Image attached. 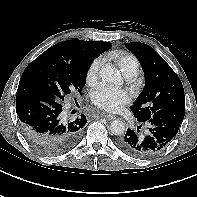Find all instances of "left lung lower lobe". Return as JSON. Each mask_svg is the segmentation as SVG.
<instances>
[{
  "label": "left lung lower lobe",
  "mask_w": 197,
  "mask_h": 197,
  "mask_svg": "<svg viewBox=\"0 0 197 197\" xmlns=\"http://www.w3.org/2000/svg\"><path fill=\"white\" fill-rule=\"evenodd\" d=\"M184 114L185 105H172L159 109L143 122L147 126L144 135L128 129L126 134L118 140V146L136 158L152 157L165 149L175 137Z\"/></svg>",
  "instance_id": "1"
}]
</instances>
